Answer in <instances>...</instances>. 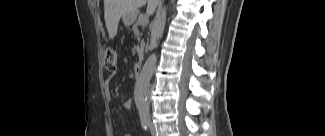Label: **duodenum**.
I'll list each match as a JSON object with an SVG mask.
<instances>
[{
	"label": "duodenum",
	"instance_id": "obj_1",
	"mask_svg": "<svg viewBox=\"0 0 325 136\" xmlns=\"http://www.w3.org/2000/svg\"><path fill=\"white\" fill-rule=\"evenodd\" d=\"M142 66H143V63L142 62H137L135 65H134V74L137 76L140 74L141 70H142Z\"/></svg>",
	"mask_w": 325,
	"mask_h": 136
}]
</instances>
